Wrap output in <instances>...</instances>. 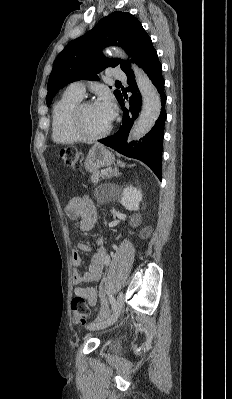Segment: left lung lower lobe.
I'll use <instances>...</instances> for the list:
<instances>
[{"mask_svg":"<svg viewBox=\"0 0 232 399\" xmlns=\"http://www.w3.org/2000/svg\"><path fill=\"white\" fill-rule=\"evenodd\" d=\"M134 62L145 71L160 94L162 108L159 118L151 131L148 132L144 138L138 142H131L130 145H127V136L140 113L142 103L141 93L135 82L134 73L130 69L126 72L127 83L129 84L128 91L132 92V96L129 97L130 107L128 109L124 107V98L127 97L124 96L123 98L122 95L118 100L123 109L122 125L114 135L101 139L99 142L127 157L144 162L161 180L164 124L166 120V95L164 93L162 65L158 60L157 52L151 41L139 51Z\"/></svg>","mask_w":232,"mask_h":399,"instance_id":"left-lung-lower-lobe-1","label":"left lung lower lobe"}]
</instances>
